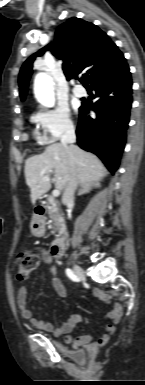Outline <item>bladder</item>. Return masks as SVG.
I'll list each match as a JSON object with an SVG mask.
<instances>
[{
	"instance_id": "obj_1",
	"label": "bladder",
	"mask_w": 145,
	"mask_h": 385,
	"mask_svg": "<svg viewBox=\"0 0 145 385\" xmlns=\"http://www.w3.org/2000/svg\"><path fill=\"white\" fill-rule=\"evenodd\" d=\"M76 353H78L80 356H82L83 358H86V355H85V352L84 351H77Z\"/></svg>"
}]
</instances>
